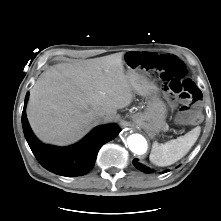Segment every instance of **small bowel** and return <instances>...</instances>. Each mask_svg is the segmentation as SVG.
<instances>
[{"label":"small bowel","instance_id":"obj_1","mask_svg":"<svg viewBox=\"0 0 221 221\" xmlns=\"http://www.w3.org/2000/svg\"><path fill=\"white\" fill-rule=\"evenodd\" d=\"M136 54L140 57V59H142L146 53H136ZM171 106H174L173 102H171Z\"/></svg>","mask_w":221,"mask_h":221}]
</instances>
